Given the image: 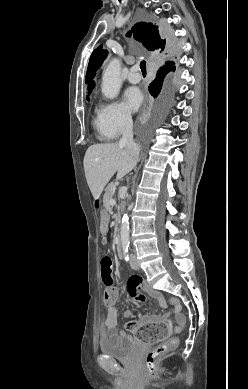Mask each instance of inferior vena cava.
<instances>
[{"label":"inferior vena cava","instance_id":"inferior-vena-cava-1","mask_svg":"<svg viewBox=\"0 0 248 389\" xmlns=\"http://www.w3.org/2000/svg\"><path fill=\"white\" fill-rule=\"evenodd\" d=\"M119 145L125 147L135 160V165L139 158V146L133 140V122L130 117L124 120L122 138Z\"/></svg>","mask_w":248,"mask_h":389}]
</instances>
